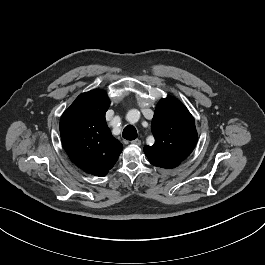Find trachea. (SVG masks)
<instances>
[{
    "label": "trachea",
    "mask_w": 265,
    "mask_h": 265,
    "mask_svg": "<svg viewBox=\"0 0 265 265\" xmlns=\"http://www.w3.org/2000/svg\"><path fill=\"white\" fill-rule=\"evenodd\" d=\"M137 136V130L132 125L126 126L122 133V137L126 140H134L137 138Z\"/></svg>",
    "instance_id": "obj_1"
}]
</instances>
